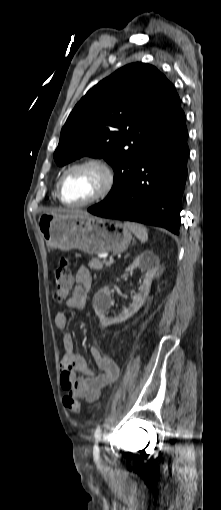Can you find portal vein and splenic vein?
Wrapping results in <instances>:
<instances>
[{
    "label": "portal vein and splenic vein",
    "mask_w": 221,
    "mask_h": 510,
    "mask_svg": "<svg viewBox=\"0 0 221 510\" xmlns=\"http://www.w3.org/2000/svg\"><path fill=\"white\" fill-rule=\"evenodd\" d=\"M113 262H114V259H113V258H110V259L106 262V265H111Z\"/></svg>",
    "instance_id": "18ae733b"
}]
</instances>
